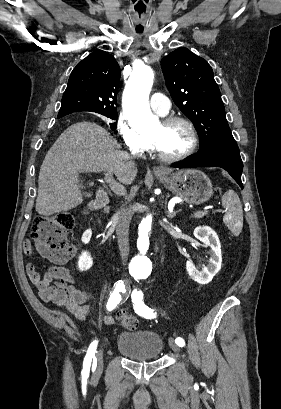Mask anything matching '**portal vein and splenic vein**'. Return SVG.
<instances>
[{
	"instance_id": "18ae733b",
	"label": "portal vein and splenic vein",
	"mask_w": 281,
	"mask_h": 409,
	"mask_svg": "<svg viewBox=\"0 0 281 409\" xmlns=\"http://www.w3.org/2000/svg\"><path fill=\"white\" fill-rule=\"evenodd\" d=\"M104 182L108 185L109 190H113V193L115 196H122L125 194V191L127 190V185L126 184H121L120 180H115L113 176V172H106ZM127 200V199H126ZM205 210L200 209L198 212L192 213V219L193 220H202L204 216ZM210 213H213V210H210ZM215 213L218 214H224L225 210L224 209H218L215 210Z\"/></svg>"
}]
</instances>
